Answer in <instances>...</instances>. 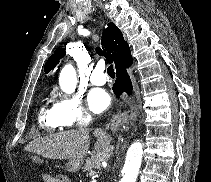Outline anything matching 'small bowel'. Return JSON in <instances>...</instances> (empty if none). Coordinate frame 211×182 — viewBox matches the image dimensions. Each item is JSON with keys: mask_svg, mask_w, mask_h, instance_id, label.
<instances>
[{"mask_svg": "<svg viewBox=\"0 0 211 182\" xmlns=\"http://www.w3.org/2000/svg\"><path fill=\"white\" fill-rule=\"evenodd\" d=\"M47 176H48L47 174H46V175H44V180H45V181H46Z\"/></svg>", "mask_w": 211, "mask_h": 182, "instance_id": "1", "label": "small bowel"}]
</instances>
